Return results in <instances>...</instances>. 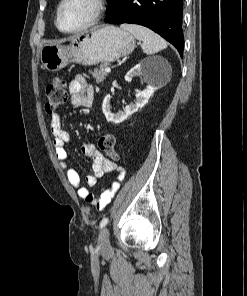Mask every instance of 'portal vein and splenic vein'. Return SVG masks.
I'll list each match as a JSON object with an SVG mask.
<instances>
[{
	"instance_id": "18ae733b",
	"label": "portal vein and splenic vein",
	"mask_w": 247,
	"mask_h": 296,
	"mask_svg": "<svg viewBox=\"0 0 247 296\" xmlns=\"http://www.w3.org/2000/svg\"><path fill=\"white\" fill-rule=\"evenodd\" d=\"M105 71H106L107 73H109V72H111V68H110V67H106V68H105Z\"/></svg>"
}]
</instances>
